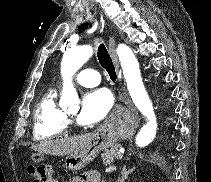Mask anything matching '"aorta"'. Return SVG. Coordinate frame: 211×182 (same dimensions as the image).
Segmentation results:
<instances>
[{
	"label": "aorta",
	"instance_id": "1",
	"mask_svg": "<svg viewBox=\"0 0 211 182\" xmlns=\"http://www.w3.org/2000/svg\"><path fill=\"white\" fill-rule=\"evenodd\" d=\"M116 52L129 94L137 109L147 119L146 124L137 134L135 141L138 147H145L154 140L157 131V120L153 105L143 85L139 63L132 49L125 44H119ZM92 55L93 48L90 45L77 47L64 54L61 63V75L63 78L61 104L66 106L77 104L78 94L72 83V77Z\"/></svg>",
	"mask_w": 211,
	"mask_h": 182
}]
</instances>
